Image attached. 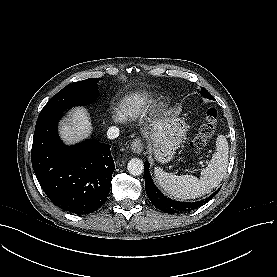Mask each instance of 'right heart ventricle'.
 Returning <instances> with one entry per match:
<instances>
[{
    "instance_id": "obj_1",
    "label": "right heart ventricle",
    "mask_w": 277,
    "mask_h": 277,
    "mask_svg": "<svg viewBox=\"0 0 277 277\" xmlns=\"http://www.w3.org/2000/svg\"><path fill=\"white\" fill-rule=\"evenodd\" d=\"M143 105L144 104L140 100L136 98H132V99L123 101L120 104L119 108L122 113L133 116L138 114L141 111V108L143 107Z\"/></svg>"
}]
</instances>
